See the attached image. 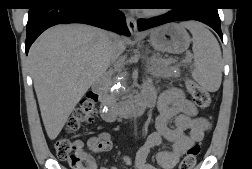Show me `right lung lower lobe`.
I'll list each match as a JSON object with an SVG mask.
<instances>
[{"label":"right lung lower lobe","mask_w":252,"mask_h":169,"mask_svg":"<svg viewBox=\"0 0 252 169\" xmlns=\"http://www.w3.org/2000/svg\"><path fill=\"white\" fill-rule=\"evenodd\" d=\"M116 0H36L29 8L26 54L36 38L56 24L83 23L130 35Z\"/></svg>","instance_id":"right-lung-lower-lobe-1"}]
</instances>
